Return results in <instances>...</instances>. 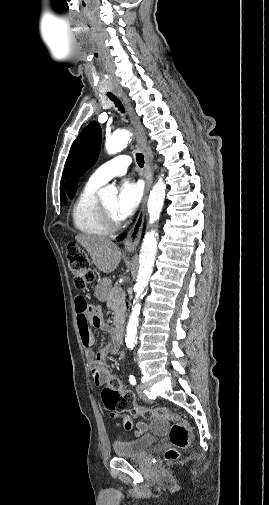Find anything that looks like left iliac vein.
I'll return each mask as SVG.
<instances>
[{
	"instance_id": "left-iliac-vein-1",
	"label": "left iliac vein",
	"mask_w": 269,
	"mask_h": 505,
	"mask_svg": "<svg viewBox=\"0 0 269 505\" xmlns=\"http://www.w3.org/2000/svg\"><path fill=\"white\" fill-rule=\"evenodd\" d=\"M136 389H137V393H138V395H139L142 399L147 400V397H146V395H145V393H144V387H143V385H142V384H138V385H137V387H136ZM151 405H152V404H151Z\"/></svg>"
}]
</instances>
